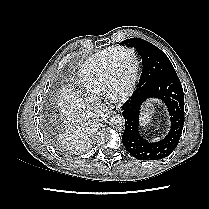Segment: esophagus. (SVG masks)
I'll return each instance as SVG.
<instances>
[{"instance_id":"34e87169","label":"esophagus","mask_w":209,"mask_h":209,"mask_svg":"<svg viewBox=\"0 0 209 209\" xmlns=\"http://www.w3.org/2000/svg\"><path fill=\"white\" fill-rule=\"evenodd\" d=\"M110 110L112 113H117L119 108L117 106H111Z\"/></svg>"}]
</instances>
